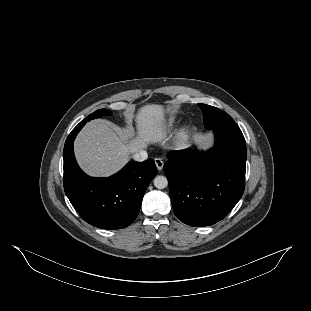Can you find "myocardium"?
<instances>
[{"instance_id":"obj_1","label":"myocardium","mask_w":311,"mask_h":311,"mask_svg":"<svg viewBox=\"0 0 311 311\" xmlns=\"http://www.w3.org/2000/svg\"><path fill=\"white\" fill-rule=\"evenodd\" d=\"M188 135H189V130L188 129L183 130L180 135V140L181 141L186 140L188 138Z\"/></svg>"}]
</instances>
